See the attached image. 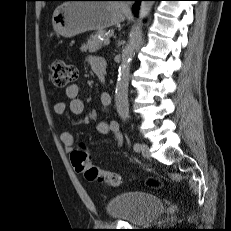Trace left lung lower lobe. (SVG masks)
<instances>
[{
    "label": "left lung lower lobe",
    "instance_id": "left-lung-lower-lobe-1",
    "mask_svg": "<svg viewBox=\"0 0 231 231\" xmlns=\"http://www.w3.org/2000/svg\"><path fill=\"white\" fill-rule=\"evenodd\" d=\"M122 1H136L132 9H133L134 14L137 15L140 1H145V0H122ZM155 1H158V0H155Z\"/></svg>",
    "mask_w": 231,
    "mask_h": 231
}]
</instances>
